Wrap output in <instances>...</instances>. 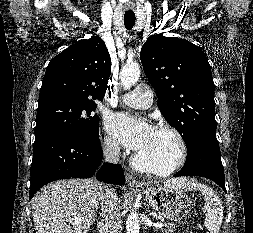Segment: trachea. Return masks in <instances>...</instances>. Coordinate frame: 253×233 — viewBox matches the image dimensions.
I'll return each instance as SVG.
<instances>
[{
  "label": "trachea",
  "instance_id": "1",
  "mask_svg": "<svg viewBox=\"0 0 253 233\" xmlns=\"http://www.w3.org/2000/svg\"><path fill=\"white\" fill-rule=\"evenodd\" d=\"M135 14L132 11H127L125 12L124 15V25L126 27V29L130 30L133 28V26L135 25Z\"/></svg>",
  "mask_w": 253,
  "mask_h": 233
}]
</instances>
